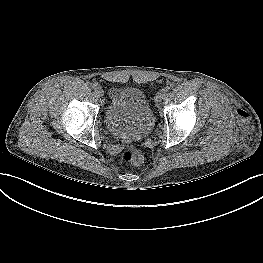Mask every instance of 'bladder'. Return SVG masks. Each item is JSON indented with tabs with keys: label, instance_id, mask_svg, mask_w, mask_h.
I'll list each match as a JSON object with an SVG mask.
<instances>
[{
	"label": "bladder",
	"instance_id": "1",
	"mask_svg": "<svg viewBox=\"0 0 263 263\" xmlns=\"http://www.w3.org/2000/svg\"><path fill=\"white\" fill-rule=\"evenodd\" d=\"M153 112L142 90L134 87L118 91L103 112L105 129L116 137H147L153 128Z\"/></svg>",
	"mask_w": 263,
	"mask_h": 263
}]
</instances>
